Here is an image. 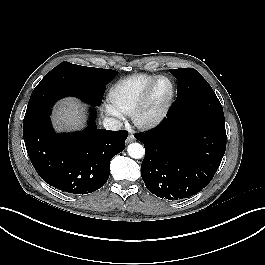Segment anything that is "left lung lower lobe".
<instances>
[{
	"instance_id": "left-lung-lower-lobe-1",
	"label": "left lung lower lobe",
	"mask_w": 265,
	"mask_h": 265,
	"mask_svg": "<svg viewBox=\"0 0 265 265\" xmlns=\"http://www.w3.org/2000/svg\"><path fill=\"white\" fill-rule=\"evenodd\" d=\"M135 137L145 147L141 176L147 189L168 200L203 189L226 148L225 122L198 115H167L159 128Z\"/></svg>"
}]
</instances>
